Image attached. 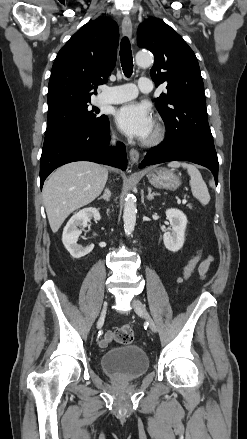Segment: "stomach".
<instances>
[{"instance_id":"1","label":"stomach","mask_w":247,"mask_h":439,"mask_svg":"<svg viewBox=\"0 0 247 439\" xmlns=\"http://www.w3.org/2000/svg\"><path fill=\"white\" fill-rule=\"evenodd\" d=\"M147 178L157 188L175 190L181 184L180 178L172 170L163 167L150 169Z\"/></svg>"}]
</instances>
